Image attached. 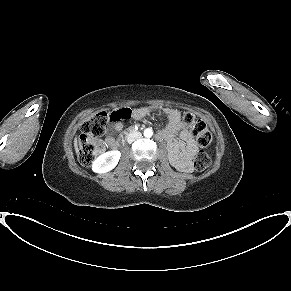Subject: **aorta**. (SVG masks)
<instances>
[{"instance_id":"762f6f07","label":"aorta","mask_w":291,"mask_h":291,"mask_svg":"<svg viewBox=\"0 0 291 291\" xmlns=\"http://www.w3.org/2000/svg\"><path fill=\"white\" fill-rule=\"evenodd\" d=\"M152 135H153V131H152L151 128H147V129L144 130V136L145 137L150 138V137H152Z\"/></svg>"}]
</instances>
